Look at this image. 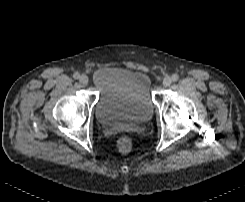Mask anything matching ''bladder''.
Wrapping results in <instances>:
<instances>
[{
	"mask_svg": "<svg viewBox=\"0 0 245 202\" xmlns=\"http://www.w3.org/2000/svg\"><path fill=\"white\" fill-rule=\"evenodd\" d=\"M91 80L98 92L94 116L100 126L143 123L155 112L152 80L148 73L130 67L95 69Z\"/></svg>",
	"mask_w": 245,
	"mask_h": 202,
	"instance_id": "1",
	"label": "bladder"
}]
</instances>
